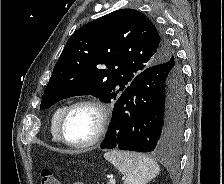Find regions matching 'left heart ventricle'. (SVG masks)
Listing matches in <instances>:
<instances>
[{
  "mask_svg": "<svg viewBox=\"0 0 224 184\" xmlns=\"http://www.w3.org/2000/svg\"><path fill=\"white\" fill-rule=\"evenodd\" d=\"M99 120V114L93 107H76L65 122L66 138L73 143H83L90 140L96 133Z\"/></svg>",
  "mask_w": 224,
  "mask_h": 184,
  "instance_id": "b2bd125f",
  "label": "left heart ventricle"
}]
</instances>
